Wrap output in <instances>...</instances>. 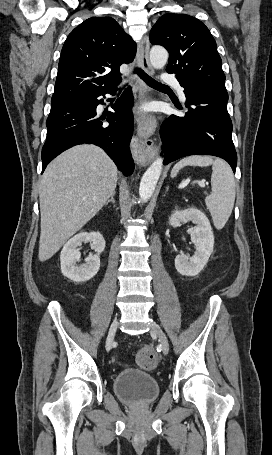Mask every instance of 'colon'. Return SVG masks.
I'll list each match as a JSON object with an SVG mask.
<instances>
[{
  "instance_id": "obj_1",
  "label": "colon",
  "mask_w": 272,
  "mask_h": 455,
  "mask_svg": "<svg viewBox=\"0 0 272 455\" xmlns=\"http://www.w3.org/2000/svg\"><path fill=\"white\" fill-rule=\"evenodd\" d=\"M136 361L140 367L151 369L157 363V355L152 347L145 346L138 351Z\"/></svg>"
}]
</instances>
